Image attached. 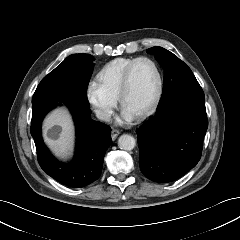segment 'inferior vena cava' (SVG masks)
<instances>
[{
    "mask_svg": "<svg viewBox=\"0 0 240 240\" xmlns=\"http://www.w3.org/2000/svg\"><path fill=\"white\" fill-rule=\"evenodd\" d=\"M96 117L100 120L108 121L110 119V114L103 110H96Z\"/></svg>",
    "mask_w": 240,
    "mask_h": 240,
    "instance_id": "obj_1",
    "label": "inferior vena cava"
}]
</instances>
